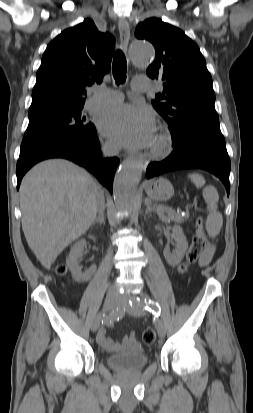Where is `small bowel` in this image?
I'll return each instance as SVG.
<instances>
[{"label":"small bowel","mask_w":253,"mask_h":413,"mask_svg":"<svg viewBox=\"0 0 253 413\" xmlns=\"http://www.w3.org/2000/svg\"><path fill=\"white\" fill-rule=\"evenodd\" d=\"M214 252H215V248L213 246H210L202 254L201 259L199 261L200 265L201 266L208 265L210 261L212 260ZM108 326H110V324H108ZM97 341L102 347H104L108 351H119L122 348L137 349L139 347L134 331H131L128 335H126L123 340V343L119 344L115 342L114 340H112L110 337H108L106 328L102 327L98 331Z\"/></svg>","instance_id":"c3829d8e"}]
</instances>
